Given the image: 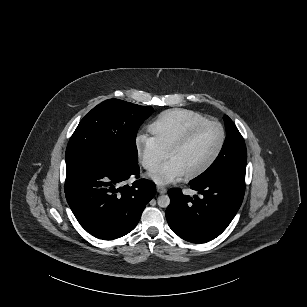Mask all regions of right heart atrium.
<instances>
[{"instance_id":"obj_1","label":"right heart atrium","mask_w":307,"mask_h":307,"mask_svg":"<svg viewBox=\"0 0 307 307\" xmlns=\"http://www.w3.org/2000/svg\"><path fill=\"white\" fill-rule=\"evenodd\" d=\"M134 149L142 166L150 172H153L164 159L163 151L152 137L137 135Z\"/></svg>"}]
</instances>
